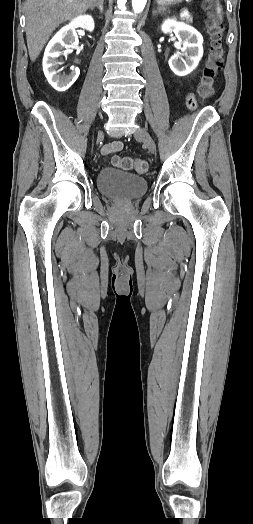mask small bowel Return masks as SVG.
I'll use <instances>...</instances> for the list:
<instances>
[{
  "label": "small bowel",
  "mask_w": 253,
  "mask_h": 524,
  "mask_svg": "<svg viewBox=\"0 0 253 524\" xmlns=\"http://www.w3.org/2000/svg\"><path fill=\"white\" fill-rule=\"evenodd\" d=\"M184 103L189 110H194L197 107L198 98L195 95L193 89H188L184 95ZM123 148V143L121 141H113L109 144H106L102 147L101 153L103 156L108 157L114 155L121 151Z\"/></svg>",
  "instance_id": "1"
}]
</instances>
